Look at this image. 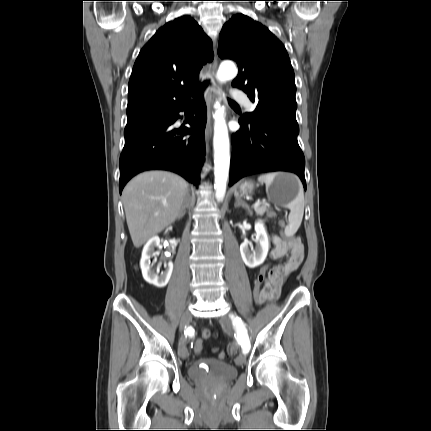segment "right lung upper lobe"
Masks as SVG:
<instances>
[{
	"instance_id": "cb5924a9",
	"label": "right lung upper lobe",
	"mask_w": 431,
	"mask_h": 431,
	"mask_svg": "<svg viewBox=\"0 0 431 431\" xmlns=\"http://www.w3.org/2000/svg\"><path fill=\"white\" fill-rule=\"evenodd\" d=\"M213 58L211 40L191 17L165 24L135 61L129 80L127 121L189 102L202 66Z\"/></svg>"
}]
</instances>
